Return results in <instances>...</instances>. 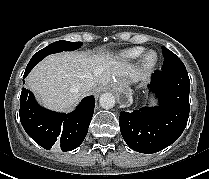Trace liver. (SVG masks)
I'll return each mask as SVG.
<instances>
[{
	"label": "liver",
	"instance_id": "obj_1",
	"mask_svg": "<svg viewBox=\"0 0 209 179\" xmlns=\"http://www.w3.org/2000/svg\"><path fill=\"white\" fill-rule=\"evenodd\" d=\"M114 78L130 84L145 81L147 74L118 61L110 53L62 52L49 55L38 63L27 76L26 83L45 107L66 111L85 93L79 88L83 80L92 79L95 87H103Z\"/></svg>",
	"mask_w": 209,
	"mask_h": 179
}]
</instances>
